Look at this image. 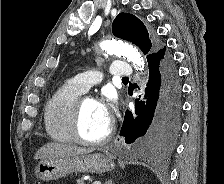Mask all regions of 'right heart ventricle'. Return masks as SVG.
<instances>
[{"label":"right heart ventricle","mask_w":224,"mask_h":184,"mask_svg":"<svg viewBox=\"0 0 224 184\" xmlns=\"http://www.w3.org/2000/svg\"><path fill=\"white\" fill-rule=\"evenodd\" d=\"M83 92L72 82L59 87L48 100L44 112V124L48 136L59 143H71V118L78 98Z\"/></svg>","instance_id":"obj_1"}]
</instances>
